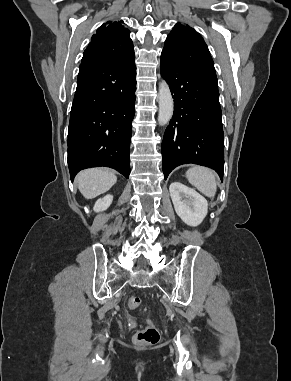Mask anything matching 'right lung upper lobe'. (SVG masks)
Instances as JSON below:
<instances>
[{
    "mask_svg": "<svg viewBox=\"0 0 291 381\" xmlns=\"http://www.w3.org/2000/svg\"><path fill=\"white\" fill-rule=\"evenodd\" d=\"M123 21L107 22L98 28L84 51L81 62L111 61L124 58L134 52L129 30Z\"/></svg>",
    "mask_w": 291,
    "mask_h": 381,
    "instance_id": "1",
    "label": "right lung upper lobe"
}]
</instances>
